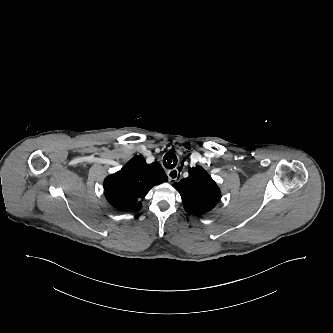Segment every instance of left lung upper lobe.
<instances>
[{"instance_id":"obj_1","label":"left lung upper lobe","mask_w":333,"mask_h":333,"mask_svg":"<svg viewBox=\"0 0 333 333\" xmlns=\"http://www.w3.org/2000/svg\"><path fill=\"white\" fill-rule=\"evenodd\" d=\"M173 186L181 195L185 211L192 215L209 212L221 198L216 182L201 166L190 168L189 176Z\"/></svg>"}]
</instances>
